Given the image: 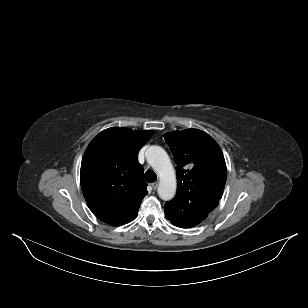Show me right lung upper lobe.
Wrapping results in <instances>:
<instances>
[{
	"instance_id": "cb5924a9",
	"label": "right lung upper lobe",
	"mask_w": 308,
	"mask_h": 308,
	"mask_svg": "<svg viewBox=\"0 0 308 308\" xmlns=\"http://www.w3.org/2000/svg\"><path fill=\"white\" fill-rule=\"evenodd\" d=\"M152 131L112 127L99 133L87 147L80 182L93 214L114 226L133 220L148 193L138 152Z\"/></svg>"
}]
</instances>
